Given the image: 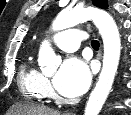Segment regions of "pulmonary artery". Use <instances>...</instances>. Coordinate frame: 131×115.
Returning <instances> with one entry per match:
<instances>
[{"instance_id": "e3ab8cb5", "label": "pulmonary artery", "mask_w": 131, "mask_h": 115, "mask_svg": "<svg viewBox=\"0 0 131 115\" xmlns=\"http://www.w3.org/2000/svg\"><path fill=\"white\" fill-rule=\"evenodd\" d=\"M86 38L85 33L79 29H67L56 33L52 41L60 49L73 52L78 49L81 41Z\"/></svg>"}]
</instances>
